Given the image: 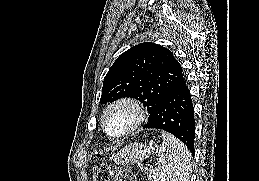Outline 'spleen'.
Listing matches in <instances>:
<instances>
[{"label":"spleen","mask_w":259,"mask_h":181,"mask_svg":"<svg viewBox=\"0 0 259 181\" xmlns=\"http://www.w3.org/2000/svg\"><path fill=\"white\" fill-rule=\"evenodd\" d=\"M192 156L185 144L169 133H162L156 167L149 173L150 181H189Z\"/></svg>","instance_id":"obj_1"}]
</instances>
